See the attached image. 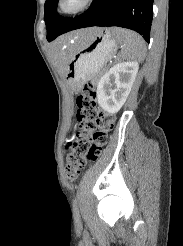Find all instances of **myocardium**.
Segmentation results:
<instances>
[{
	"instance_id": "1",
	"label": "myocardium",
	"mask_w": 183,
	"mask_h": 246,
	"mask_svg": "<svg viewBox=\"0 0 183 246\" xmlns=\"http://www.w3.org/2000/svg\"><path fill=\"white\" fill-rule=\"evenodd\" d=\"M94 0H58L57 12L64 16L79 14L88 9Z\"/></svg>"
}]
</instances>
